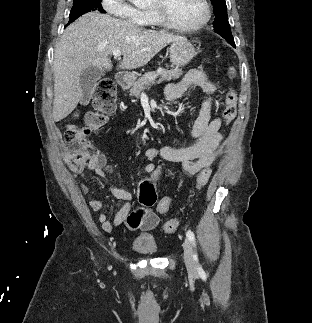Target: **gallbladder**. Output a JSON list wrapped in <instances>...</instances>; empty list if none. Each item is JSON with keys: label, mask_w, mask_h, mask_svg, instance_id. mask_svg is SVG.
<instances>
[{"label": "gallbladder", "mask_w": 312, "mask_h": 323, "mask_svg": "<svg viewBox=\"0 0 312 323\" xmlns=\"http://www.w3.org/2000/svg\"><path fill=\"white\" fill-rule=\"evenodd\" d=\"M101 76H104V74L96 66H89V68L82 70L80 76V88L82 90L81 104H89L96 84Z\"/></svg>", "instance_id": "bac80fb5"}]
</instances>
